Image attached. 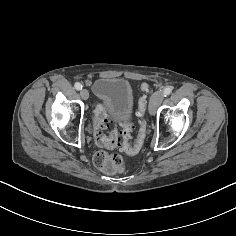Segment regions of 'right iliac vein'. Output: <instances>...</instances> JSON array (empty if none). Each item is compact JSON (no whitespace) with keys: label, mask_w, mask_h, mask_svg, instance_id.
<instances>
[{"label":"right iliac vein","mask_w":236,"mask_h":236,"mask_svg":"<svg viewBox=\"0 0 236 236\" xmlns=\"http://www.w3.org/2000/svg\"><path fill=\"white\" fill-rule=\"evenodd\" d=\"M80 96L82 97V99L87 100L89 97V92L86 89H82L80 91Z\"/></svg>","instance_id":"obj_1"}]
</instances>
